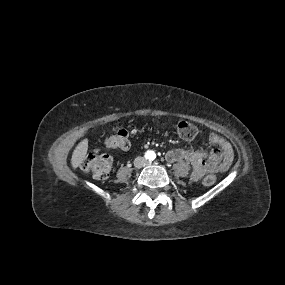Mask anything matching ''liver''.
Listing matches in <instances>:
<instances>
[{
  "label": "liver",
  "mask_w": 285,
  "mask_h": 285,
  "mask_svg": "<svg viewBox=\"0 0 285 285\" xmlns=\"http://www.w3.org/2000/svg\"><path fill=\"white\" fill-rule=\"evenodd\" d=\"M87 150H88V140L84 139L77 145V147L73 151L71 158V165L74 169H76L83 163V161L86 158Z\"/></svg>",
  "instance_id": "6515ba94"
}]
</instances>
